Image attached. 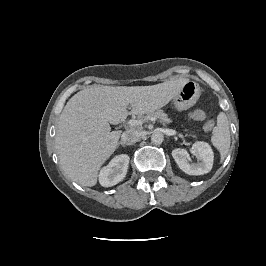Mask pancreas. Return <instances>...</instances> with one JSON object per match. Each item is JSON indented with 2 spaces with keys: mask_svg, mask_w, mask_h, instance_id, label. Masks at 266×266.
I'll return each instance as SVG.
<instances>
[{
  "mask_svg": "<svg viewBox=\"0 0 266 266\" xmlns=\"http://www.w3.org/2000/svg\"><path fill=\"white\" fill-rule=\"evenodd\" d=\"M150 117L158 118L165 124L171 123L170 118L168 117V115L163 110H157V111L150 112L146 116L140 115L139 120H142L143 122H145Z\"/></svg>",
  "mask_w": 266,
  "mask_h": 266,
  "instance_id": "cf45deb5",
  "label": "pancreas"
}]
</instances>
